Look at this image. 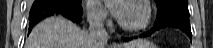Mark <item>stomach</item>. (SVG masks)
<instances>
[{"instance_id":"0dacf381","label":"stomach","mask_w":213,"mask_h":48,"mask_svg":"<svg viewBox=\"0 0 213 48\" xmlns=\"http://www.w3.org/2000/svg\"><path fill=\"white\" fill-rule=\"evenodd\" d=\"M132 48H158V47L152 43L145 42V43H138L136 46Z\"/></svg>"}]
</instances>
